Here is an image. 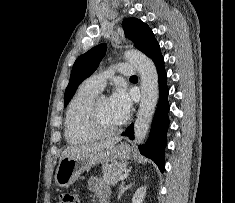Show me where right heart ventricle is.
<instances>
[{"mask_svg": "<svg viewBox=\"0 0 235 203\" xmlns=\"http://www.w3.org/2000/svg\"><path fill=\"white\" fill-rule=\"evenodd\" d=\"M100 91L84 82L71 99L65 117L64 134L68 143L82 144L99 138L88 122L89 106Z\"/></svg>", "mask_w": 235, "mask_h": 203, "instance_id": "right-heart-ventricle-1", "label": "right heart ventricle"}]
</instances>
